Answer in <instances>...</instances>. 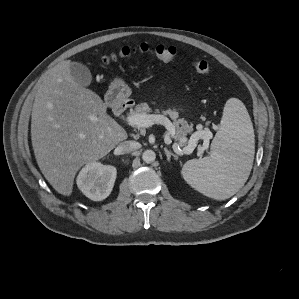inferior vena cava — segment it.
I'll list each match as a JSON object with an SVG mask.
<instances>
[{
    "label": "inferior vena cava",
    "mask_w": 299,
    "mask_h": 299,
    "mask_svg": "<svg viewBox=\"0 0 299 299\" xmlns=\"http://www.w3.org/2000/svg\"><path fill=\"white\" fill-rule=\"evenodd\" d=\"M139 148V143L136 141H124L117 146V151L120 154L130 153Z\"/></svg>",
    "instance_id": "602c4592"
}]
</instances>
